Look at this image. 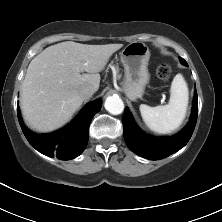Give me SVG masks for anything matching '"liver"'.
<instances>
[{
	"label": "liver",
	"mask_w": 222,
	"mask_h": 222,
	"mask_svg": "<svg viewBox=\"0 0 222 222\" xmlns=\"http://www.w3.org/2000/svg\"><path fill=\"white\" fill-rule=\"evenodd\" d=\"M122 47L123 44L87 45L66 41L49 46L34 57L20 96L21 111L28 126L38 132H50L69 121L85 100L79 89L92 85L98 90L99 72Z\"/></svg>",
	"instance_id": "obj_1"
}]
</instances>
